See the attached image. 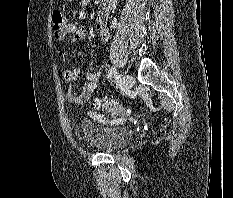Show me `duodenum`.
<instances>
[{
  "instance_id": "duodenum-1",
  "label": "duodenum",
  "mask_w": 233,
  "mask_h": 198,
  "mask_svg": "<svg viewBox=\"0 0 233 198\" xmlns=\"http://www.w3.org/2000/svg\"><path fill=\"white\" fill-rule=\"evenodd\" d=\"M114 3V0H102V6L104 10L109 9L110 7H112Z\"/></svg>"
}]
</instances>
